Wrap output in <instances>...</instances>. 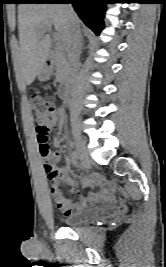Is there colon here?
Returning <instances> with one entry per match:
<instances>
[{
    "mask_svg": "<svg viewBox=\"0 0 166 267\" xmlns=\"http://www.w3.org/2000/svg\"><path fill=\"white\" fill-rule=\"evenodd\" d=\"M31 106L36 121V135L39 143V149L44 158L50 156V149L47 144L48 140V121L55 117L58 112L56 103L53 100L43 98L39 93L31 96ZM44 168L47 176L50 179H55L58 176L57 168L50 161L46 160Z\"/></svg>",
    "mask_w": 166,
    "mask_h": 267,
    "instance_id": "colon-1",
    "label": "colon"
}]
</instances>
